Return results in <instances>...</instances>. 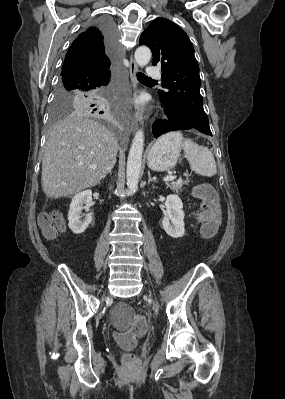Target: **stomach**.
Instances as JSON below:
<instances>
[{"label":"stomach","mask_w":285,"mask_h":399,"mask_svg":"<svg viewBox=\"0 0 285 399\" xmlns=\"http://www.w3.org/2000/svg\"><path fill=\"white\" fill-rule=\"evenodd\" d=\"M181 139L179 133H169L161 137L149 150L148 167L153 171L172 169L180 156Z\"/></svg>","instance_id":"obj_1"}]
</instances>
